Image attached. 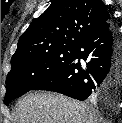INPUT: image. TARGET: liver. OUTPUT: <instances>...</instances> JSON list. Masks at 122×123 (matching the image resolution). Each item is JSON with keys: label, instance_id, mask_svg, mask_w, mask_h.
<instances>
[{"label": "liver", "instance_id": "obj_1", "mask_svg": "<svg viewBox=\"0 0 122 123\" xmlns=\"http://www.w3.org/2000/svg\"><path fill=\"white\" fill-rule=\"evenodd\" d=\"M99 118L87 103L53 92L28 93L13 112V123H98Z\"/></svg>", "mask_w": 122, "mask_h": 123}]
</instances>
